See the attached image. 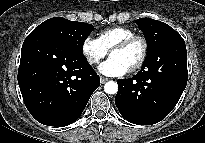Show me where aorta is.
<instances>
[{
    "mask_svg": "<svg viewBox=\"0 0 205 143\" xmlns=\"http://www.w3.org/2000/svg\"><path fill=\"white\" fill-rule=\"evenodd\" d=\"M104 91L107 94H116L118 91V85L114 81L106 82L104 85Z\"/></svg>",
    "mask_w": 205,
    "mask_h": 143,
    "instance_id": "aorta-1",
    "label": "aorta"
}]
</instances>
